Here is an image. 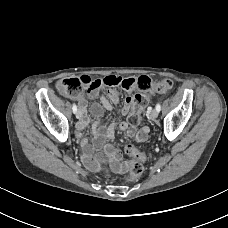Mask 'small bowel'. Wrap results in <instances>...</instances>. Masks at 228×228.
<instances>
[{
	"mask_svg": "<svg viewBox=\"0 0 228 228\" xmlns=\"http://www.w3.org/2000/svg\"><path fill=\"white\" fill-rule=\"evenodd\" d=\"M98 94L97 91H92L90 97H95ZM120 92L118 89L113 88L108 91V95L100 94V102H94L91 105V113L100 118L103 114L104 109L111 110L114 105L119 102ZM79 107L81 109V117L76 125L78 133L85 130L89 125V117L87 115V99L84 96L78 97ZM133 98L127 97L122 109L124 115L128 114L132 109ZM121 131H125L127 136L130 138H136L138 142H144L148 136V128L142 127L139 130L136 126H131L128 121L113 122L108 128H105L102 123L98 120L92 124V130L94 133V141L92 146L100 148L104 146V153L111 162V165L115 171H122L123 165L121 164L120 152L110 144L104 145L105 140L111 139L114 136L116 128ZM83 148L87 153L91 151V145L87 141L82 142Z\"/></svg>",
	"mask_w": 228,
	"mask_h": 228,
	"instance_id": "1",
	"label": "small bowel"
}]
</instances>
